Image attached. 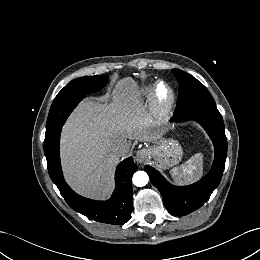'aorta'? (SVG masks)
Listing matches in <instances>:
<instances>
[{"instance_id": "1", "label": "aorta", "mask_w": 260, "mask_h": 260, "mask_svg": "<svg viewBox=\"0 0 260 260\" xmlns=\"http://www.w3.org/2000/svg\"><path fill=\"white\" fill-rule=\"evenodd\" d=\"M133 184L137 187H143L145 186L148 181L149 177L148 174L144 171H137L134 173L132 178Z\"/></svg>"}]
</instances>
